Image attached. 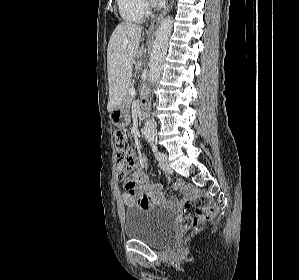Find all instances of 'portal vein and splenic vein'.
I'll return each mask as SVG.
<instances>
[{
  "label": "portal vein and splenic vein",
  "instance_id": "1",
  "mask_svg": "<svg viewBox=\"0 0 299 280\" xmlns=\"http://www.w3.org/2000/svg\"><path fill=\"white\" fill-rule=\"evenodd\" d=\"M129 94H130V95H135V94H136V91H135V88H134V87H131V88L129 89Z\"/></svg>",
  "mask_w": 299,
  "mask_h": 280
}]
</instances>
